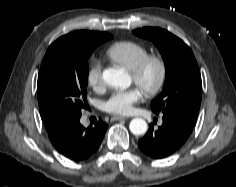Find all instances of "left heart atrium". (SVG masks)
<instances>
[{
	"label": "left heart atrium",
	"instance_id": "1",
	"mask_svg": "<svg viewBox=\"0 0 236 187\" xmlns=\"http://www.w3.org/2000/svg\"><path fill=\"white\" fill-rule=\"evenodd\" d=\"M141 95L139 87L116 91L106 101L105 110L115 115H127L132 111L133 105L139 101Z\"/></svg>",
	"mask_w": 236,
	"mask_h": 187
}]
</instances>
